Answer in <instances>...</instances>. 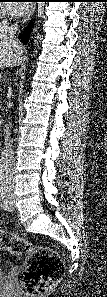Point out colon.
Segmentation results:
<instances>
[{
	"instance_id": "colon-1",
	"label": "colon",
	"mask_w": 107,
	"mask_h": 297,
	"mask_svg": "<svg viewBox=\"0 0 107 297\" xmlns=\"http://www.w3.org/2000/svg\"><path fill=\"white\" fill-rule=\"evenodd\" d=\"M0 247L13 254H26L20 287L29 296L49 292L63 274V263L50 248L30 245L15 234L5 231L0 232Z\"/></svg>"
}]
</instances>
